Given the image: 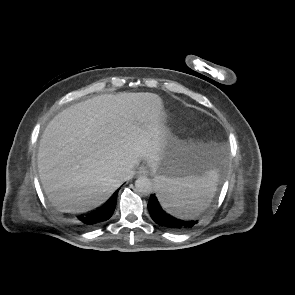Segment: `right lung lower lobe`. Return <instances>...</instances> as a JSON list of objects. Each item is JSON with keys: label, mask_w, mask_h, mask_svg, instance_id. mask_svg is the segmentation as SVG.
Segmentation results:
<instances>
[{"label": "right lung lower lobe", "mask_w": 295, "mask_h": 295, "mask_svg": "<svg viewBox=\"0 0 295 295\" xmlns=\"http://www.w3.org/2000/svg\"><path fill=\"white\" fill-rule=\"evenodd\" d=\"M117 193L118 191L115 192L113 196L101 207L90 213L78 216V219L86 227H95L104 223L112 216L114 212L117 202Z\"/></svg>", "instance_id": "98d812e1"}]
</instances>
